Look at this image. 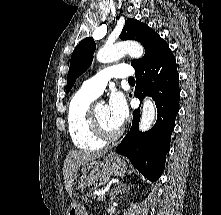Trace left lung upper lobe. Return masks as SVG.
Wrapping results in <instances>:
<instances>
[{
    "label": "left lung upper lobe",
    "mask_w": 221,
    "mask_h": 215,
    "mask_svg": "<svg viewBox=\"0 0 221 215\" xmlns=\"http://www.w3.org/2000/svg\"><path fill=\"white\" fill-rule=\"evenodd\" d=\"M120 38L122 40H136L145 48L146 53L142 59L131 61L135 71L144 68L153 59L158 50L166 44L148 25L135 19H128L126 21ZM95 49L96 44L94 40L86 38L73 51L67 76V93L71 90L77 77L84 73L91 65Z\"/></svg>",
    "instance_id": "obj_1"
}]
</instances>
